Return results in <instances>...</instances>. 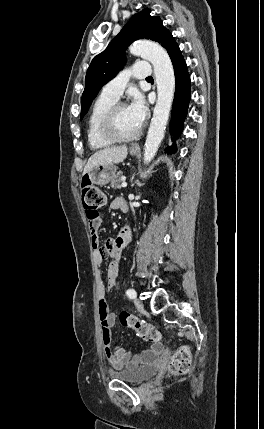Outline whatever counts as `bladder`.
I'll return each instance as SVG.
<instances>
[{"mask_svg":"<svg viewBox=\"0 0 264 429\" xmlns=\"http://www.w3.org/2000/svg\"><path fill=\"white\" fill-rule=\"evenodd\" d=\"M157 372L155 364L138 366L132 369L112 370L109 376L117 381H122L130 384H141L151 379Z\"/></svg>","mask_w":264,"mask_h":429,"instance_id":"1","label":"bladder"}]
</instances>
